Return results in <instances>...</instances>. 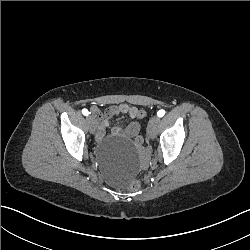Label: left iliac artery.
<instances>
[{"instance_id":"left-iliac-artery-1","label":"left iliac artery","mask_w":250,"mask_h":250,"mask_svg":"<svg viewBox=\"0 0 250 250\" xmlns=\"http://www.w3.org/2000/svg\"><path fill=\"white\" fill-rule=\"evenodd\" d=\"M164 114H165V111H164L163 109H161V110H159V111L157 112L158 117H163Z\"/></svg>"}]
</instances>
